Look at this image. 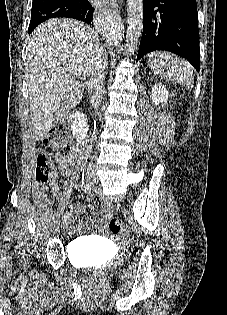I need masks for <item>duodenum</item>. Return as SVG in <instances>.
I'll use <instances>...</instances> for the list:
<instances>
[{
    "instance_id": "obj_1",
    "label": "duodenum",
    "mask_w": 227,
    "mask_h": 315,
    "mask_svg": "<svg viewBox=\"0 0 227 315\" xmlns=\"http://www.w3.org/2000/svg\"><path fill=\"white\" fill-rule=\"evenodd\" d=\"M72 128L76 140L80 144H84L86 141L87 132L89 129V123L86 115L81 111H75L72 115Z\"/></svg>"
}]
</instances>
